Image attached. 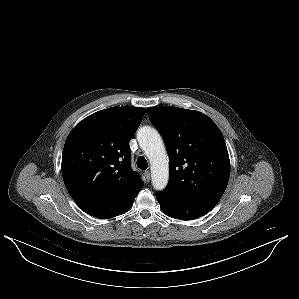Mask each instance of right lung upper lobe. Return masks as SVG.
I'll return each instance as SVG.
<instances>
[{"mask_svg": "<svg viewBox=\"0 0 299 299\" xmlns=\"http://www.w3.org/2000/svg\"><path fill=\"white\" fill-rule=\"evenodd\" d=\"M144 114V108L111 107L91 114L72 129L61 168L76 203L114 195L119 213L134 202L144 182L131 169L129 141Z\"/></svg>", "mask_w": 299, "mask_h": 299, "instance_id": "right-lung-upper-lobe-1", "label": "right lung upper lobe"}]
</instances>
